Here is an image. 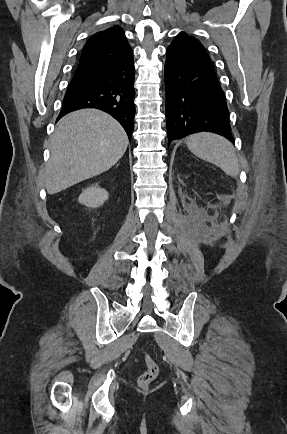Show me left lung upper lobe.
<instances>
[{
	"label": "left lung upper lobe",
	"mask_w": 287,
	"mask_h": 434,
	"mask_svg": "<svg viewBox=\"0 0 287 434\" xmlns=\"http://www.w3.org/2000/svg\"><path fill=\"white\" fill-rule=\"evenodd\" d=\"M167 54L212 65L203 45L186 33H179L167 48Z\"/></svg>",
	"instance_id": "obj_1"
}]
</instances>
